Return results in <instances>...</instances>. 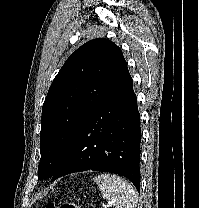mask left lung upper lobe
I'll return each instance as SVG.
<instances>
[{
  "label": "left lung upper lobe",
  "instance_id": "obj_1",
  "mask_svg": "<svg viewBox=\"0 0 199 208\" xmlns=\"http://www.w3.org/2000/svg\"><path fill=\"white\" fill-rule=\"evenodd\" d=\"M128 74L122 51L104 38L88 41L69 56L43 104L40 180L52 177L76 132Z\"/></svg>",
  "mask_w": 199,
  "mask_h": 208
}]
</instances>
